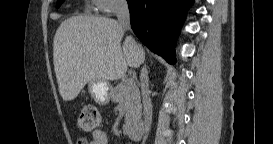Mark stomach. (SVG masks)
Instances as JSON below:
<instances>
[{
    "mask_svg": "<svg viewBox=\"0 0 273 144\" xmlns=\"http://www.w3.org/2000/svg\"><path fill=\"white\" fill-rule=\"evenodd\" d=\"M89 93L99 105H107L111 98V86L108 81H92L88 85Z\"/></svg>",
    "mask_w": 273,
    "mask_h": 144,
    "instance_id": "1",
    "label": "stomach"
}]
</instances>
